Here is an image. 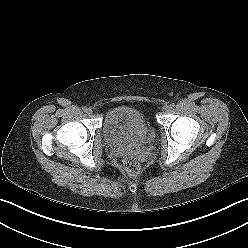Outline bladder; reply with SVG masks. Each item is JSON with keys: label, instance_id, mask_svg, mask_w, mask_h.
<instances>
[{"label": "bladder", "instance_id": "bladder-1", "mask_svg": "<svg viewBox=\"0 0 248 248\" xmlns=\"http://www.w3.org/2000/svg\"><path fill=\"white\" fill-rule=\"evenodd\" d=\"M153 130L146 111L133 107H117L111 110L103 124L104 138L113 144H120L128 138L144 141Z\"/></svg>", "mask_w": 248, "mask_h": 248}]
</instances>
